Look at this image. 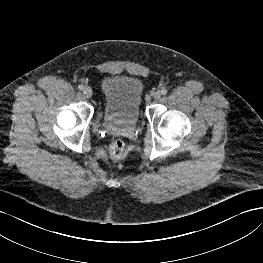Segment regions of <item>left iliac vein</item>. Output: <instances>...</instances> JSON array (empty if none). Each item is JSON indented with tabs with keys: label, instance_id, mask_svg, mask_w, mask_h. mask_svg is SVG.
Returning <instances> with one entry per match:
<instances>
[{
	"label": "left iliac vein",
	"instance_id": "left-iliac-vein-1",
	"mask_svg": "<svg viewBox=\"0 0 263 263\" xmlns=\"http://www.w3.org/2000/svg\"><path fill=\"white\" fill-rule=\"evenodd\" d=\"M161 95L162 93L160 91H156L154 94H153V98L158 100L161 98Z\"/></svg>",
	"mask_w": 263,
	"mask_h": 263
}]
</instances>
